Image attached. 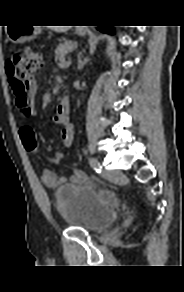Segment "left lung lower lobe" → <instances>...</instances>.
<instances>
[{
	"instance_id": "left-lung-lower-lobe-1",
	"label": "left lung lower lobe",
	"mask_w": 184,
	"mask_h": 292,
	"mask_svg": "<svg viewBox=\"0 0 184 292\" xmlns=\"http://www.w3.org/2000/svg\"><path fill=\"white\" fill-rule=\"evenodd\" d=\"M99 30L104 32V33H109V34H113L114 33V31H113L111 26H103V27H100Z\"/></svg>"
}]
</instances>
